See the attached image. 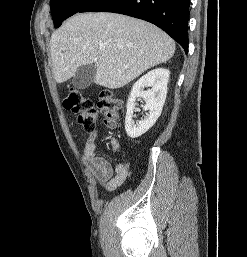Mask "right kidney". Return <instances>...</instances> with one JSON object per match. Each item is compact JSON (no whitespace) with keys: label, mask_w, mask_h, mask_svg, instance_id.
Returning <instances> with one entry per match:
<instances>
[{"label":"right kidney","mask_w":247,"mask_h":257,"mask_svg":"<svg viewBox=\"0 0 247 257\" xmlns=\"http://www.w3.org/2000/svg\"><path fill=\"white\" fill-rule=\"evenodd\" d=\"M170 72L168 69L157 68L143 75L132 87L127 102L125 118V130L129 137L137 138L146 133L161 115L162 108L167 95V84ZM145 87H151L144 91ZM137 98L145 101L144 110L148 111L147 116L137 122L133 121V112Z\"/></svg>","instance_id":"right-kidney-1"}]
</instances>
